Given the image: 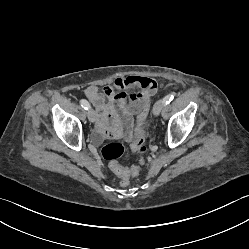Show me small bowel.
<instances>
[{"label":"small bowel","mask_w":249,"mask_h":249,"mask_svg":"<svg viewBox=\"0 0 249 249\" xmlns=\"http://www.w3.org/2000/svg\"><path fill=\"white\" fill-rule=\"evenodd\" d=\"M154 80L147 77H119L111 84L100 90L91 85L85 89L86 97L94 105L97 113V134L100 138L116 137L122 132L131 137V113L146 110L150 97L155 94L157 87L151 89ZM138 87L142 91L128 94L124 90Z\"/></svg>","instance_id":"1"}]
</instances>
